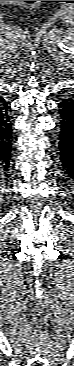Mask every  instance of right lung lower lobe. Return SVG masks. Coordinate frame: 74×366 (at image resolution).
Listing matches in <instances>:
<instances>
[{"label": "right lung lower lobe", "mask_w": 74, "mask_h": 366, "mask_svg": "<svg viewBox=\"0 0 74 366\" xmlns=\"http://www.w3.org/2000/svg\"><path fill=\"white\" fill-rule=\"evenodd\" d=\"M8 103L0 96V166L8 168L12 148V128L8 117Z\"/></svg>", "instance_id": "1"}]
</instances>
